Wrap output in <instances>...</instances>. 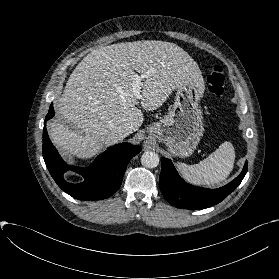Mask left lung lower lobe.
Returning a JSON list of instances; mask_svg holds the SVG:
<instances>
[{
	"label": "left lung lower lobe",
	"mask_w": 279,
	"mask_h": 279,
	"mask_svg": "<svg viewBox=\"0 0 279 279\" xmlns=\"http://www.w3.org/2000/svg\"><path fill=\"white\" fill-rule=\"evenodd\" d=\"M160 189L165 199L180 209H204L220 203L243 180L247 172V162L242 172L230 183L218 189H207L187 184L177 173L171 160L162 158Z\"/></svg>",
	"instance_id": "0a47b994"
}]
</instances>
